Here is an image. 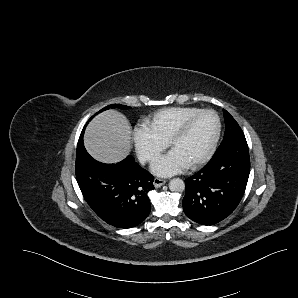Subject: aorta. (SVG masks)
<instances>
[{"label":"aorta","mask_w":298,"mask_h":298,"mask_svg":"<svg viewBox=\"0 0 298 298\" xmlns=\"http://www.w3.org/2000/svg\"><path fill=\"white\" fill-rule=\"evenodd\" d=\"M169 190L172 192H180L185 189V182L181 178H173L169 181Z\"/></svg>","instance_id":"obj_1"}]
</instances>
